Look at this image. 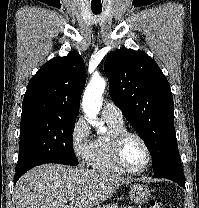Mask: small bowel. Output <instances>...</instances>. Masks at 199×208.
I'll use <instances>...</instances> for the list:
<instances>
[{
	"label": "small bowel",
	"instance_id": "c3829d8e",
	"mask_svg": "<svg viewBox=\"0 0 199 208\" xmlns=\"http://www.w3.org/2000/svg\"><path fill=\"white\" fill-rule=\"evenodd\" d=\"M127 208H136L135 206H128Z\"/></svg>",
	"mask_w": 199,
	"mask_h": 208
}]
</instances>
